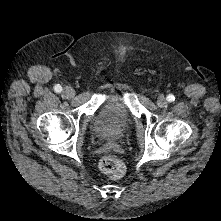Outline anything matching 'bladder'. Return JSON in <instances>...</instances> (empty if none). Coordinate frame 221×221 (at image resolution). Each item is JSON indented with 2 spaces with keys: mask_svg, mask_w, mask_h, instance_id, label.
<instances>
[{
  "mask_svg": "<svg viewBox=\"0 0 221 221\" xmlns=\"http://www.w3.org/2000/svg\"><path fill=\"white\" fill-rule=\"evenodd\" d=\"M129 113L118 105L104 106L91 123L93 133L105 140L120 139L131 125Z\"/></svg>",
  "mask_w": 221,
  "mask_h": 221,
  "instance_id": "1",
  "label": "bladder"
}]
</instances>
